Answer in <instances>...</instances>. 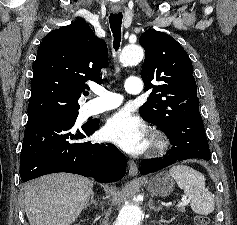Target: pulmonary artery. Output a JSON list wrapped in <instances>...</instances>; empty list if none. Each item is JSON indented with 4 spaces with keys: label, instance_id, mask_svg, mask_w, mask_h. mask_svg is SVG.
<instances>
[{
    "label": "pulmonary artery",
    "instance_id": "pulmonary-artery-1",
    "mask_svg": "<svg viewBox=\"0 0 237 225\" xmlns=\"http://www.w3.org/2000/svg\"><path fill=\"white\" fill-rule=\"evenodd\" d=\"M125 90L129 94H138L141 91V80L137 77H128L125 83ZM96 98L87 103V112L89 115L103 113L119 107L123 99L119 94L95 89Z\"/></svg>",
    "mask_w": 237,
    "mask_h": 225
}]
</instances>
